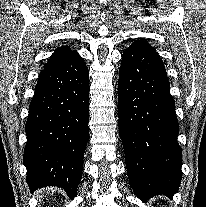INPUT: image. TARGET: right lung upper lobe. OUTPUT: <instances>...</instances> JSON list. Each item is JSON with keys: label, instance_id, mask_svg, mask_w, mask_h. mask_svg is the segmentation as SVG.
Wrapping results in <instances>:
<instances>
[{"label": "right lung upper lobe", "instance_id": "1", "mask_svg": "<svg viewBox=\"0 0 206 207\" xmlns=\"http://www.w3.org/2000/svg\"><path fill=\"white\" fill-rule=\"evenodd\" d=\"M79 54L76 51H72L67 45L57 48L54 53L49 58L48 62L45 65L44 69L54 67L59 65L70 58L78 56Z\"/></svg>", "mask_w": 206, "mask_h": 207}]
</instances>
